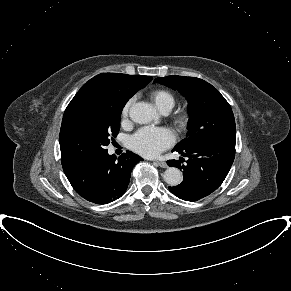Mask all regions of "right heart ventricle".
Listing matches in <instances>:
<instances>
[{
  "instance_id": "right-heart-ventricle-1",
  "label": "right heart ventricle",
  "mask_w": 291,
  "mask_h": 291,
  "mask_svg": "<svg viewBox=\"0 0 291 291\" xmlns=\"http://www.w3.org/2000/svg\"><path fill=\"white\" fill-rule=\"evenodd\" d=\"M155 106L162 112L170 111L175 105V96L166 89H156L150 93Z\"/></svg>"
}]
</instances>
